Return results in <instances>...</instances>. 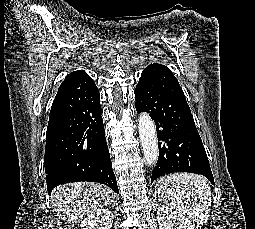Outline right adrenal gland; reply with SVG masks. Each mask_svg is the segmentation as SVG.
I'll return each mask as SVG.
<instances>
[{"label":"right adrenal gland","instance_id":"1","mask_svg":"<svg viewBox=\"0 0 255 229\" xmlns=\"http://www.w3.org/2000/svg\"><path fill=\"white\" fill-rule=\"evenodd\" d=\"M111 204H113V205L117 204L116 200L115 199L111 200Z\"/></svg>","mask_w":255,"mask_h":229}]
</instances>
